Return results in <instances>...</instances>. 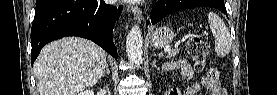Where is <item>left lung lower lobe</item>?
Returning <instances> with one entry per match:
<instances>
[{"label": "left lung lower lobe", "instance_id": "obj_1", "mask_svg": "<svg viewBox=\"0 0 277 95\" xmlns=\"http://www.w3.org/2000/svg\"><path fill=\"white\" fill-rule=\"evenodd\" d=\"M186 0H158L151 10L150 17L146 22V25H155L157 22L162 20L165 16L179 10L188 9L189 5L183 4ZM194 3H201L203 0H193ZM213 7L223 13L227 14L224 5L219 6H204Z\"/></svg>", "mask_w": 277, "mask_h": 95}]
</instances>
